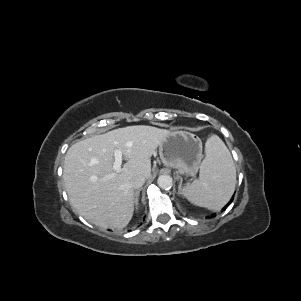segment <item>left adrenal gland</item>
<instances>
[{"mask_svg":"<svg viewBox=\"0 0 301 301\" xmlns=\"http://www.w3.org/2000/svg\"><path fill=\"white\" fill-rule=\"evenodd\" d=\"M181 186H182V178H180V184L178 186V194H182V192H181Z\"/></svg>","mask_w":301,"mask_h":301,"instance_id":"obj_1","label":"left adrenal gland"}]
</instances>
